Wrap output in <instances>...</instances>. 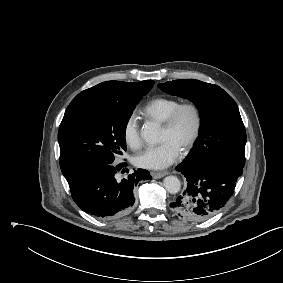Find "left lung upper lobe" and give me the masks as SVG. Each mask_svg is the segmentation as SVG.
Masks as SVG:
<instances>
[{
	"label": "left lung upper lobe",
	"mask_w": 283,
	"mask_h": 283,
	"mask_svg": "<svg viewBox=\"0 0 283 283\" xmlns=\"http://www.w3.org/2000/svg\"><path fill=\"white\" fill-rule=\"evenodd\" d=\"M161 90L192 101L200 110L199 137L182 162L190 168L211 163L245 164L246 131L232 97L217 85L195 79L158 85Z\"/></svg>",
	"instance_id": "obj_1"
}]
</instances>
